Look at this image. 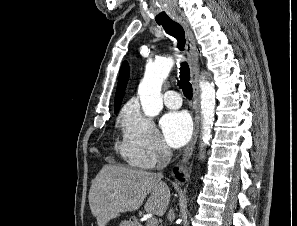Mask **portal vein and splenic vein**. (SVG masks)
<instances>
[{
    "instance_id": "portal-vein-and-splenic-vein-1",
    "label": "portal vein and splenic vein",
    "mask_w": 297,
    "mask_h": 226,
    "mask_svg": "<svg viewBox=\"0 0 297 226\" xmlns=\"http://www.w3.org/2000/svg\"><path fill=\"white\" fill-rule=\"evenodd\" d=\"M147 226H157V219L151 218L147 221Z\"/></svg>"
}]
</instances>
